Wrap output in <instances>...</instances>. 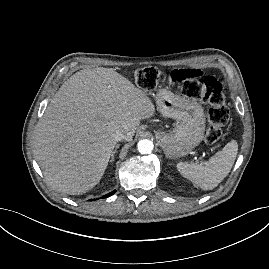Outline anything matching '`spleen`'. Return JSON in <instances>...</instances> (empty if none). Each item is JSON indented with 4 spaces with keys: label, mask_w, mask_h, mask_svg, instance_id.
Instances as JSON below:
<instances>
[{
    "label": "spleen",
    "mask_w": 269,
    "mask_h": 269,
    "mask_svg": "<svg viewBox=\"0 0 269 269\" xmlns=\"http://www.w3.org/2000/svg\"><path fill=\"white\" fill-rule=\"evenodd\" d=\"M238 153V143L232 140L212 156L204 165L179 162L180 174L202 190H212L229 174Z\"/></svg>",
    "instance_id": "obj_1"
}]
</instances>
